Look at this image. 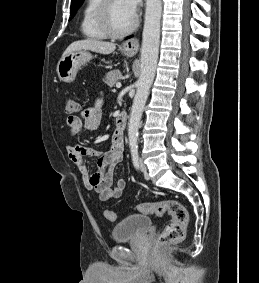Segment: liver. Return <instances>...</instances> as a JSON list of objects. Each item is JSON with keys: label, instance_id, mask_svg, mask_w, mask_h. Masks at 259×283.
I'll return each instance as SVG.
<instances>
[{"label": "liver", "instance_id": "6515ba94", "mask_svg": "<svg viewBox=\"0 0 259 283\" xmlns=\"http://www.w3.org/2000/svg\"><path fill=\"white\" fill-rule=\"evenodd\" d=\"M115 48L114 43L88 38L71 43L63 53L62 58L76 50H91L106 55L112 53Z\"/></svg>", "mask_w": 259, "mask_h": 283}]
</instances>
